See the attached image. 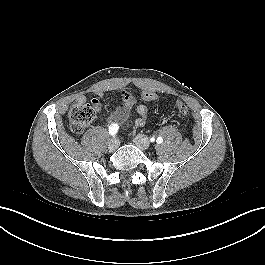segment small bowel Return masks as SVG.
Instances as JSON below:
<instances>
[{"instance_id":"obj_1","label":"small bowel","mask_w":265,"mask_h":265,"mask_svg":"<svg viewBox=\"0 0 265 265\" xmlns=\"http://www.w3.org/2000/svg\"><path fill=\"white\" fill-rule=\"evenodd\" d=\"M101 95V93H99ZM121 103L120 105L113 110L106 118L108 123H122L127 116L129 115L130 111L133 109V107L136 104V98L133 96V94L129 91H123L121 94ZM78 102H84L85 97L79 96L77 98ZM99 108L100 102L98 99H93ZM137 117L135 119V125L138 127H142L146 124L148 119V109L145 105L141 104L136 107Z\"/></svg>"}]
</instances>
